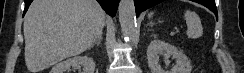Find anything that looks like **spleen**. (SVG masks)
<instances>
[{
    "instance_id": "1",
    "label": "spleen",
    "mask_w": 244,
    "mask_h": 73,
    "mask_svg": "<svg viewBox=\"0 0 244 73\" xmlns=\"http://www.w3.org/2000/svg\"><path fill=\"white\" fill-rule=\"evenodd\" d=\"M153 12H151L148 17L149 19L153 17ZM184 18L187 24V36L191 39L200 38L203 35V27L199 16L190 10L185 11Z\"/></svg>"
}]
</instances>
